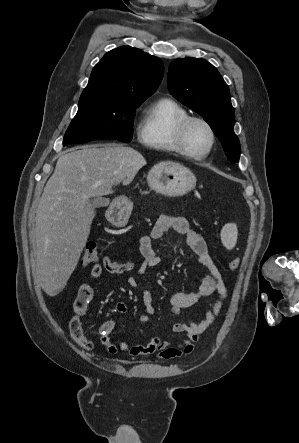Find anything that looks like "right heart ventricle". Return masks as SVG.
Segmentation results:
<instances>
[{
    "mask_svg": "<svg viewBox=\"0 0 299 443\" xmlns=\"http://www.w3.org/2000/svg\"><path fill=\"white\" fill-rule=\"evenodd\" d=\"M188 115V111L171 98L156 100L146 109L139 134L140 142L151 150L179 153L175 133L179 122Z\"/></svg>",
    "mask_w": 299,
    "mask_h": 443,
    "instance_id": "right-heart-ventricle-1",
    "label": "right heart ventricle"
}]
</instances>
